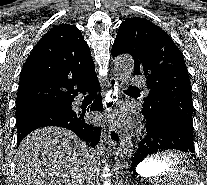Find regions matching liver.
I'll return each mask as SVG.
<instances>
[{"instance_id": "obj_1", "label": "liver", "mask_w": 207, "mask_h": 185, "mask_svg": "<svg viewBox=\"0 0 207 185\" xmlns=\"http://www.w3.org/2000/svg\"><path fill=\"white\" fill-rule=\"evenodd\" d=\"M91 169L92 149L73 131L42 127L21 141L13 185H83Z\"/></svg>"}]
</instances>
